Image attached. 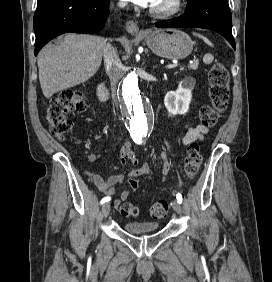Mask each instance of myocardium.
Masks as SVG:
<instances>
[{"label": "myocardium", "mask_w": 272, "mask_h": 282, "mask_svg": "<svg viewBox=\"0 0 272 282\" xmlns=\"http://www.w3.org/2000/svg\"><path fill=\"white\" fill-rule=\"evenodd\" d=\"M183 7H184V0H176L174 7L169 10L160 11V10H154L150 8L149 11L152 15L156 17L170 18V17H173L179 14L181 10L183 9Z\"/></svg>", "instance_id": "1"}]
</instances>
